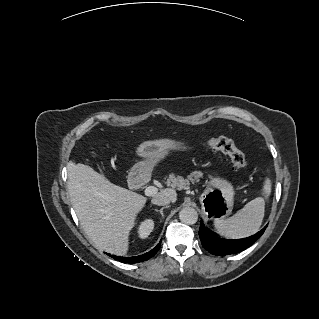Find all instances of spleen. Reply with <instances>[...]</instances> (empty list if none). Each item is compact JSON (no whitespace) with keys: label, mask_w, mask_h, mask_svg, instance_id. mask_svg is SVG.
I'll list each match as a JSON object with an SVG mask.
<instances>
[{"label":"spleen","mask_w":319,"mask_h":319,"mask_svg":"<svg viewBox=\"0 0 319 319\" xmlns=\"http://www.w3.org/2000/svg\"><path fill=\"white\" fill-rule=\"evenodd\" d=\"M271 180L266 178L263 186V194L269 197L271 193ZM265 200L257 197L247 203L232 217L225 220H215L217 232L227 238H244L256 233L264 217Z\"/></svg>","instance_id":"1"}]
</instances>
